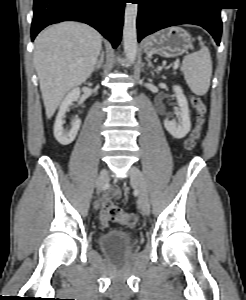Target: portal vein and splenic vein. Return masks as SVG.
I'll return each instance as SVG.
<instances>
[{"instance_id":"obj_1","label":"portal vein and splenic vein","mask_w":246,"mask_h":300,"mask_svg":"<svg viewBox=\"0 0 246 300\" xmlns=\"http://www.w3.org/2000/svg\"><path fill=\"white\" fill-rule=\"evenodd\" d=\"M178 61L176 62V64L174 65V69H177V67H178Z\"/></svg>"}]
</instances>
